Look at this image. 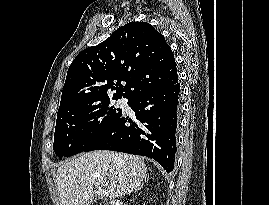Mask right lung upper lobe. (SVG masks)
<instances>
[{"mask_svg":"<svg viewBox=\"0 0 269 205\" xmlns=\"http://www.w3.org/2000/svg\"><path fill=\"white\" fill-rule=\"evenodd\" d=\"M178 82L173 52L146 22H130L71 63L57 118L113 99H131Z\"/></svg>","mask_w":269,"mask_h":205,"instance_id":"cb5924a9","label":"right lung upper lobe"}]
</instances>
